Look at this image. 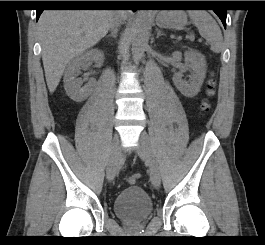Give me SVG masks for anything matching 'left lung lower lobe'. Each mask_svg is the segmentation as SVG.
Here are the masks:
<instances>
[{"mask_svg": "<svg viewBox=\"0 0 265 245\" xmlns=\"http://www.w3.org/2000/svg\"><path fill=\"white\" fill-rule=\"evenodd\" d=\"M166 5L169 6H196L199 5V1H167L164 2ZM218 17L221 19L223 25L226 27V15H227V10L226 9H216L213 10Z\"/></svg>", "mask_w": 265, "mask_h": 245, "instance_id": "left-lung-lower-lobe-1", "label": "left lung lower lobe"}]
</instances>
